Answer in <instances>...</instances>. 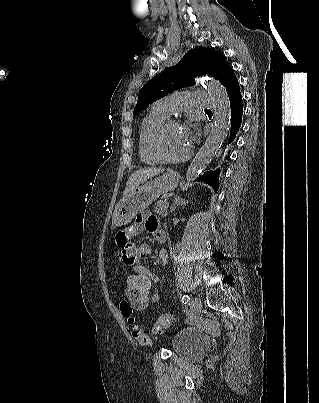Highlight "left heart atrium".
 <instances>
[{
    "label": "left heart atrium",
    "instance_id": "obj_1",
    "mask_svg": "<svg viewBox=\"0 0 319 403\" xmlns=\"http://www.w3.org/2000/svg\"><path fill=\"white\" fill-rule=\"evenodd\" d=\"M184 130V135L187 143L191 145L194 142L195 136H194V130L192 125H186L183 127Z\"/></svg>",
    "mask_w": 319,
    "mask_h": 403
}]
</instances>
